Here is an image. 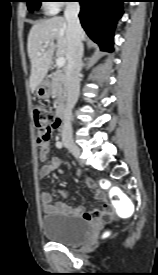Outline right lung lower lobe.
Masks as SVG:
<instances>
[{
    "mask_svg": "<svg viewBox=\"0 0 158 275\" xmlns=\"http://www.w3.org/2000/svg\"><path fill=\"white\" fill-rule=\"evenodd\" d=\"M82 27L101 50L113 51V32L117 19L123 14V0H77Z\"/></svg>",
    "mask_w": 158,
    "mask_h": 275,
    "instance_id": "98d812e1",
    "label": "right lung lower lobe"
}]
</instances>
